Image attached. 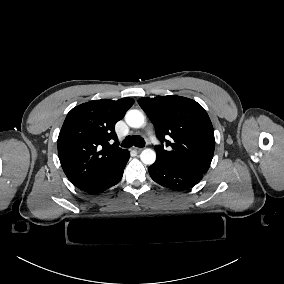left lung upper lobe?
I'll use <instances>...</instances> for the list:
<instances>
[{"label": "left lung upper lobe", "mask_w": 284, "mask_h": 284, "mask_svg": "<svg viewBox=\"0 0 284 284\" xmlns=\"http://www.w3.org/2000/svg\"><path fill=\"white\" fill-rule=\"evenodd\" d=\"M138 103L153 122L162 143L155 147L157 160L179 169L206 173L215 139L205 109L192 99L176 95L144 97ZM163 144L168 148L164 149Z\"/></svg>", "instance_id": "left-lung-upper-lobe-1"}]
</instances>
